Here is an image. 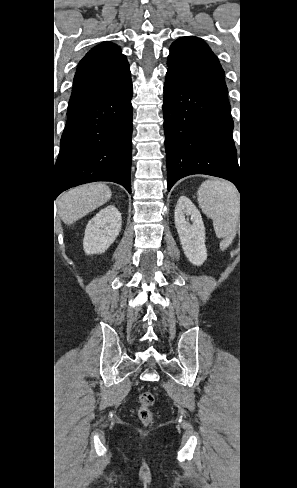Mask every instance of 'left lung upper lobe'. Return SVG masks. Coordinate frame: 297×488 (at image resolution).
Segmentation results:
<instances>
[{"label":"left lung upper lobe","instance_id":"obj_1","mask_svg":"<svg viewBox=\"0 0 297 488\" xmlns=\"http://www.w3.org/2000/svg\"><path fill=\"white\" fill-rule=\"evenodd\" d=\"M167 65V73L230 106L224 70L202 39L194 36L177 39L170 47Z\"/></svg>","mask_w":297,"mask_h":488}]
</instances>
